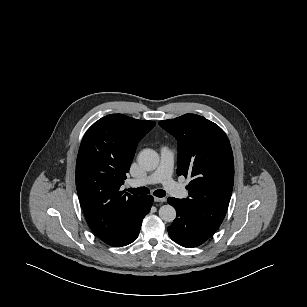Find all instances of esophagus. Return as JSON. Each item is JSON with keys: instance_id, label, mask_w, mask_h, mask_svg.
Masks as SVG:
<instances>
[{"instance_id": "1", "label": "esophagus", "mask_w": 307, "mask_h": 307, "mask_svg": "<svg viewBox=\"0 0 307 307\" xmlns=\"http://www.w3.org/2000/svg\"><path fill=\"white\" fill-rule=\"evenodd\" d=\"M154 201H155V202H165V201H166V198H164V197H162V198L154 197Z\"/></svg>"}]
</instances>
